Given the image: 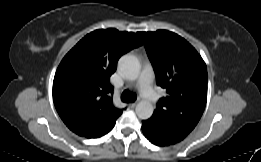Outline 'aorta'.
Segmentation results:
<instances>
[{"label":"aorta","instance_id":"obj_1","mask_svg":"<svg viewBox=\"0 0 261 162\" xmlns=\"http://www.w3.org/2000/svg\"><path fill=\"white\" fill-rule=\"evenodd\" d=\"M121 74L128 80H136L140 73V63L136 56L126 54L118 62ZM136 114L140 119H148L152 116L154 108L148 101H140L136 106Z\"/></svg>","mask_w":261,"mask_h":162}]
</instances>
